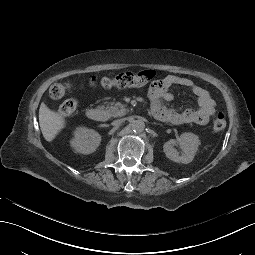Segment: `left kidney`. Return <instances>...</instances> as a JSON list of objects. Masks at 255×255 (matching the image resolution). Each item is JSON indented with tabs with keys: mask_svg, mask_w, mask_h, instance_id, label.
<instances>
[{
	"mask_svg": "<svg viewBox=\"0 0 255 255\" xmlns=\"http://www.w3.org/2000/svg\"><path fill=\"white\" fill-rule=\"evenodd\" d=\"M198 145L199 141L195 135L184 133L178 139L167 141L163 146V150L168 159L177 163L188 164L192 161ZM175 146L182 151L181 155L178 154Z\"/></svg>",
	"mask_w": 255,
	"mask_h": 255,
	"instance_id": "left-kidney-1",
	"label": "left kidney"
}]
</instances>
